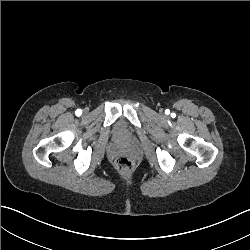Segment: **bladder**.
I'll return each instance as SVG.
<instances>
[{"mask_svg": "<svg viewBox=\"0 0 250 250\" xmlns=\"http://www.w3.org/2000/svg\"><path fill=\"white\" fill-rule=\"evenodd\" d=\"M113 132L120 140H127L129 137V125L125 117H120L114 124Z\"/></svg>", "mask_w": 250, "mask_h": 250, "instance_id": "1", "label": "bladder"}]
</instances>
